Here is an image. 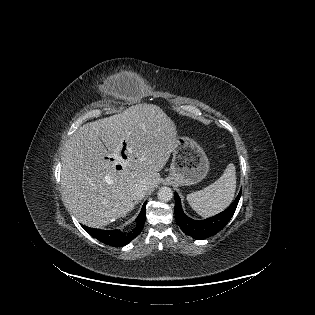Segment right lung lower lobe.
Wrapping results in <instances>:
<instances>
[{
  "label": "right lung lower lobe",
  "instance_id": "1",
  "mask_svg": "<svg viewBox=\"0 0 315 315\" xmlns=\"http://www.w3.org/2000/svg\"><path fill=\"white\" fill-rule=\"evenodd\" d=\"M146 220V203L143 204L142 209L138 217L136 218V227L133 232L130 233H123L119 230H99L90 228L87 226L82 225V227L94 238L98 239L99 241L111 245V246H123L131 242L135 237H137L144 226Z\"/></svg>",
  "mask_w": 315,
  "mask_h": 315
}]
</instances>
